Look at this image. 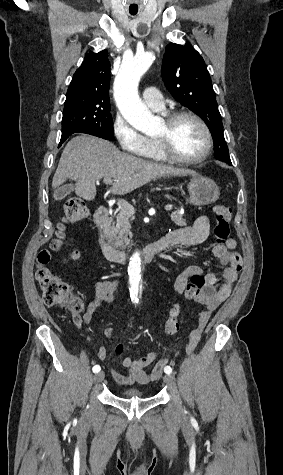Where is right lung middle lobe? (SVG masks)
I'll list each match as a JSON object with an SVG mask.
<instances>
[{
	"instance_id": "obj_1",
	"label": "right lung middle lobe",
	"mask_w": 283,
	"mask_h": 475,
	"mask_svg": "<svg viewBox=\"0 0 283 475\" xmlns=\"http://www.w3.org/2000/svg\"><path fill=\"white\" fill-rule=\"evenodd\" d=\"M108 100L66 98L62 119V134L86 133L114 140L113 121Z\"/></svg>"
}]
</instances>
